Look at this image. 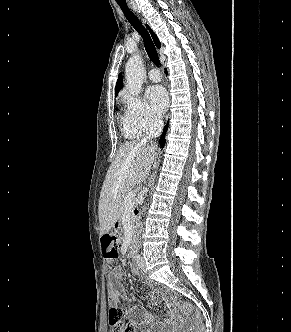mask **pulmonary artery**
Instances as JSON below:
<instances>
[{
	"label": "pulmonary artery",
	"instance_id": "pulmonary-artery-1",
	"mask_svg": "<svg viewBox=\"0 0 291 332\" xmlns=\"http://www.w3.org/2000/svg\"><path fill=\"white\" fill-rule=\"evenodd\" d=\"M148 77L152 82H159L161 80V74L157 69H151L148 73Z\"/></svg>",
	"mask_w": 291,
	"mask_h": 332
}]
</instances>
